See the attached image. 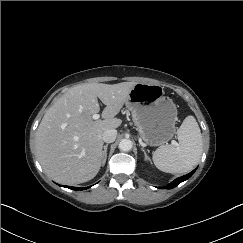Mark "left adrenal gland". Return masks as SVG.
Listing matches in <instances>:
<instances>
[{"label": "left adrenal gland", "mask_w": 243, "mask_h": 243, "mask_svg": "<svg viewBox=\"0 0 243 243\" xmlns=\"http://www.w3.org/2000/svg\"><path fill=\"white\" fill-rule=\"evenodd\" d=\"M141 150H142L143 153H144L145 160L151 162V159H150V157L147 155L146 151H145L143 148H141Z\"/></svg>", "instance_id": "a2214340"}]
</instances>
